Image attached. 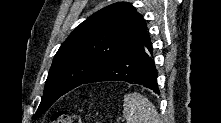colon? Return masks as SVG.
<instances>
[{
    "label": "colon",
    "instance_id": "obj_1",
    "mask_svg": "<svg viewBox=\"0 0 221 123\" xmlns=\"http://www.w3.org/2000/svg\"><path fill=\"white\" fill-rule=\"evenodd\" d=\"M52 123H83L82 119L66 111H57L51 116Z\"/></svg>",
    "mask_w": 221,
    "mask_h": 123
}]
</instances>
